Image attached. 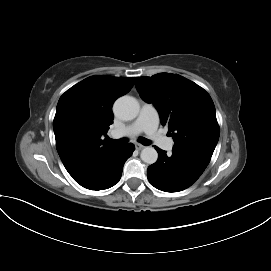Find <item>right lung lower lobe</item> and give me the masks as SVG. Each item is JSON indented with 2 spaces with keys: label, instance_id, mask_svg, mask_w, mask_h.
I'll return each instance as SVG.
<instances>
[{
  "label": "right lung lower lobe",
  "instance_id": "1",
  "mask_svg": "<svg viewBox=\"0 0 271 271\" xmlns=\"http://www.w3.org/2000/svg\"><path fill=\"white\" fill-rule=\"evenodd\" d=\"M134 149L131 143L117 146L95 168L76 182L90 190H102L114 186L120 180L123 165Z\"/></svg>",
  "mask_w": 271,
  "mask_h": 271
}]
</instances>
